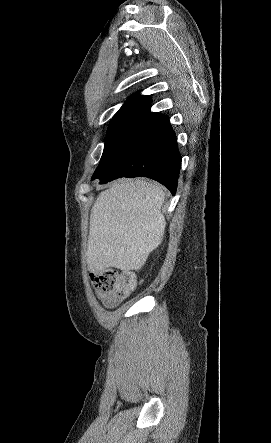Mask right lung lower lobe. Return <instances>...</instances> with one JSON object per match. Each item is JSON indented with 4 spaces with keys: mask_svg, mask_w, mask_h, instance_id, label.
Listing matches in <instances>:
<instances>
[{
    "mask_svg": "<svg viewBox=\"0 0 271 443\" xmlns=\"http://www.w3.org/2000/svg\"><path fill=\"white\" fill-rule=\"evenodd\" d=\"M180 168L181 155L168 118L149 111L125 138L114 159L92 180L104 184L120 177L144 176L175 194Z\"/></svg>",
    "mask_w": 271,
    "mask_h": 443,
    "instance_id": "right-lung-lower-lobe-1",
    "label": "right lung lower lobe"
}]
</instances>
